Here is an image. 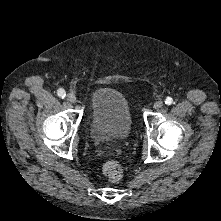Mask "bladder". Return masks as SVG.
<instances>
[{"mask_svg":"<svg viewBox=\"0 0 221 221\" xmlns=\"http://www.w3.org/2000/svg\"><path fill=\"white\" fill-rule=\"evenodd\" d=\"M132 117L125 96L111 88L94 92L90 103L89 133L92 140H125L131 132Z\"/></svg>","mask_w":221,"mask_h":221,"instance_id":"31cf9c89","label":"bladder"}]
</instances>
